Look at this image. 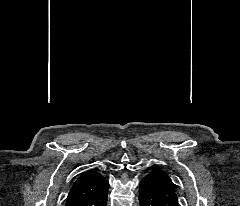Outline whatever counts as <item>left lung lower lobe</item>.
<instances>
[{
    "mask_svg": "<svg viewBox=\"0 0 240 206\" xmlns=\"http://www.w3.org/2000/svg\"><path fill=\"white\" fill-rule=\"evenodd\" d=\"M140 206H180L176 187L170 176L154 168L140 182Z\"/></svg>",
    "mask_w": 240,
    "mask_h": 206,
    "instance_id": "obj_1",
    "label": "left lung lower lobe"
}]
</instances>
